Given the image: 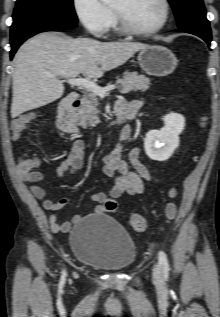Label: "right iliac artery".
<instances>
[{"instance_id":"1","label":"right iliac artery","mask_w":220,"mask_h":317,"mask_svg":"<svg viewBox=\"0 0 220 317\" xmlns=\"http://www.w3.org/2000/svg\"><path fill=\"white\" fill-rule=\"evenodd\" d=\"M65 274H63L62 279L64 280Z\"/></svg>"}]
</instances>
